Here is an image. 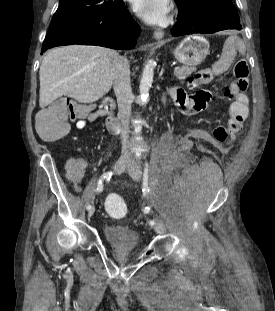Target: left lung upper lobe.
<instances>
[{"label": "left lung upper lobe", "mask_w": 275, "mask_h": 311, "mask_svg": "<svg viewBox=\"0 0 275 311\" xmlns=\"http://www.w3.org/2000/svg\"><path fill=\"white\" fill-rule=\"evenodd\" d=\"M178 6V11L188 12L202 6H224L238 16L236 7L231 0H175Z\"/></svg>", "instance_id": "obj_1"}]
</instances>
